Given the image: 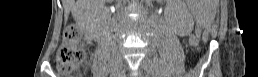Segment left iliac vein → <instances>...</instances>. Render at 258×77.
<instances>
[{
	"label": "left iliac vein",
	"mask_w": 258,
	"mask_h": 77,
	"mask_svg": "<svg viewBox=\"0 0 258 77\" xmlns=\"http://www.w3.org/2000/svg\"><path fill=\"white\" fill-rule=\"evenodd\" d=\"M141 67L151 76L161 77L162 72L160 71L159 67L156 63L151 60L150 58H144L141 61Z\"/></svg>",
	"instance_id": "obj_1"
}]
</instances>
